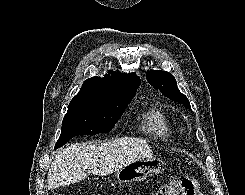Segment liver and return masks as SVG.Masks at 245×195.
<instances>
[{"mask_svg": "<svg viewBox=\"0 0 245 195\" xmlns=\"http://www.w3.org/2000/svg\"><path fill=\"white\" fill-rule=\"evenodd\" d=\"M152 158V149L141 138H118L99 144H72L57 152L48 172L49 190L84 180L85 170L95 175L117 172L133 161Z\"/></svg>", "mask_w": 245, "mask_h": 195, "instance_id": "6515ba94", "label": "liver"}]
</instances>
